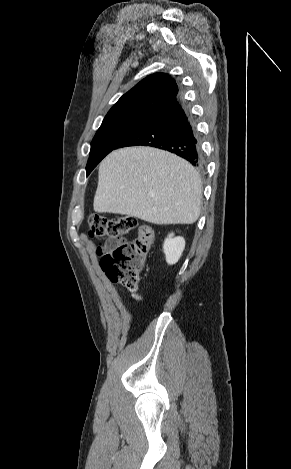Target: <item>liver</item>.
Masks as SVG:
<instances>
[{
	"instance_id": "6515ba94",
	"label": "liver",
	"mask_w": 291,
	"mask_h": 469,
	"mask_svg": "<svg viewBox=\"0 0 291 469\" xmlns=\"http://www.w3.org/2000/svg\"><path fill=\"white\" fill-rule=\"evenodd\" d=\"M202 182L184 159L152 147L115 150L100 163L94 210L153 224H192L199 218Z\"/></svg>"
}]
</instances>
